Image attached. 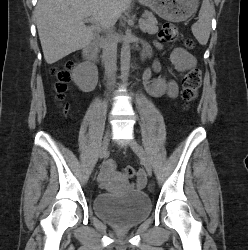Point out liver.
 <instances>
[{"instance_id":"1","label":"liver","mask_w":248,"mask_h":250,"mask_svg":"<svg viewBox=\"0 0 248 250\" xmlns=\"http://www.w3.org/2000/svg\"><path fill=\"white\" fill-rule=\"evenodd\" d=\"M130 0H39L35 10L36 25L45 61L53 64L86 47L95 31L105 28L110 18L116 20ZM91 17L94 24L86 26Z\"/></svg>"}]
</instances>
